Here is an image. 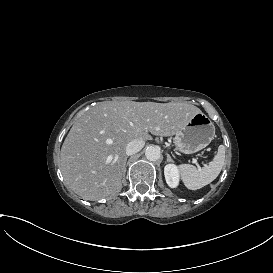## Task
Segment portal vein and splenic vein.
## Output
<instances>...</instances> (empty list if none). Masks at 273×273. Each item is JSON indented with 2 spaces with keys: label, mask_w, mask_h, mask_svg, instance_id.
<instances>
[{
  "label": "portal vein and splenic vein",
  "mask_w": 273,
  "mask_h": 273,
  "mask_svg": "<svg viewBox=\"0 0 273 273\" xmlns=\"http://www.w3.org/2000/svg\"><path fill=\"white\" fill-rule=\"evenodd\" d=\"M192 162L194 163V164H196L197 165V167L200 169V166H199V164L197 163V160L196 159H192Z\"/></svg>",
  "instance_id": "obj_1"
}]
</instances>
